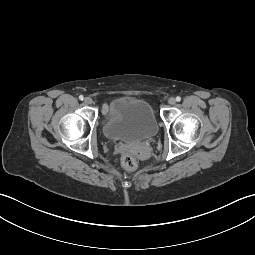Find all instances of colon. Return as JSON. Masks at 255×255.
Wrapping results in <instances>:
<instances>
[{
  "label": "colon",
  "mask_w": 255,
  "mask_h": 255,
  "mask_svg": "<svg viewBox=\"0 0 255 255\" xmlns=\"http://www.w3.org/2000/svg\"><path fill=\"white\" fill-rule=\"evenodd\" d=\"M121 163L125 170L129 172H133L137 168V161L135 156L129 152L126 151L121 156Z\"/></svg>",
  "instance_id": "obj_1"
}]
</instances>
